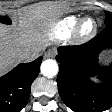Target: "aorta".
I'll use <instances>...</instances> for the list:
<instances>
[{
  "label": "aorta",
  "instance_id": "obj_1",
  "mask_svg": "<svg viewBox=\"0 0 112 112\" xmlns=\"http://www.w3.org/2000/svg\"><path fill=\"white\" fill-rule=\"evenodd\" d=\"M40 70L45 77L52 78L57 75L59 67L55 60L47 59L42 62Z\"/></svg>",
  "mask_w": 112,
  "mask_h": 112
}]
</instances>
